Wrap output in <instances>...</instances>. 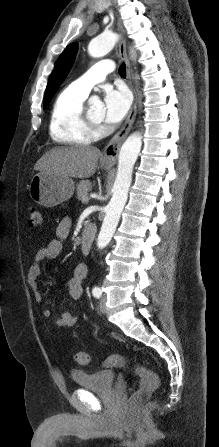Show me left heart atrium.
<instances>
[{"label": "left heart atrium", "mask_w": 219, "mask_h": 447, "mask_svg": "<svg viewBox=\"0 0 219 447\" xmlns=\"http://www.w3.org/2000/svg\"><path fill=\"white\" fill-rule=\"evenodd\" d=\"M130 106L131 97L126 89H107L103 104V118L108 123H117L126 116Z\"/></svg>", "instance_id": "obj_1"}]
</instances>
